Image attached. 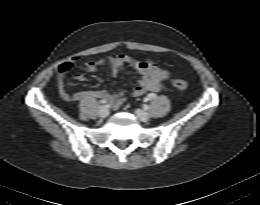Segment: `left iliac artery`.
Returning a JSON list of instances; mask_svg holds the SVG:
<instances>
[{"label":"left iliac artery","mask_w":260,"mask_h":205,"mask_svg":"<svg viewBox=\"0 0 260 205\" xmlns=\"http://www.w3.org/2000/svg\"><path fill=\"white\" fill-rule=\"evenodd\" d=\"M143 108H144V110H148V109H149V106L145 104V105L143 106Z\"/></svg>","instance_id":"left-iliac-artery-1"}]
</instances>
